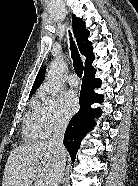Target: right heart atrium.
<instances>
[{
	"mask_svg": "<svg viewBox=\"0 0 138 186\" xmlns=\"http://www.w3.org/2000/svg\"><path fill=\"white\" fill-rule=\"evenodd\" d=\"M41 120L48 135L63 130L67 125V119L60 109L59 99L46 97L43 103Z\"/></svg>",
	"mask_w": 138,
	"mask_h": 186,
	"instance_id": "d8ad5b80",
	"label": "right heart atrium"
}]
</instances>
